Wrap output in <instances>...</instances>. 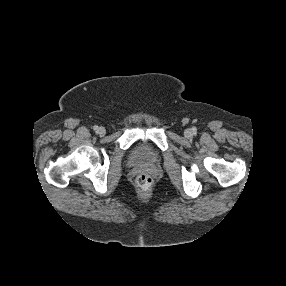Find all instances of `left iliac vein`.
<instances>
[{
    "label": "left iliac vein",
    "instance_id": "4c4485c4",
    "mask_svg": "<svg viewBox=\"0 0 286 286\" xmlns=\"http://www.w3.org/2000/svg\"><path fill=\"white\" fill-rule=\"evenodd\" d=\"M184 135H185V137L190 138V137H192L193 132H192L191 129H186V130L184 131Z\"/></svg>",
    "mask_w": 286,
    "mask_h": 286
}]
</instances>
